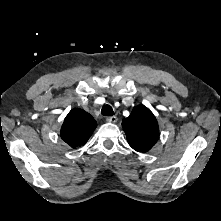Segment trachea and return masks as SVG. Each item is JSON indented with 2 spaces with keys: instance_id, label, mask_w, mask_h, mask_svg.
<instances>
[{
  "instance_id": "1",
  "label": "trachea",
  "mask_w": 221,
  "mask_h": 221,
  "mask_svg": "<svg viewBox=\"0 0 221 221\" xmlns=\"http://www.w3.org/2000/svg\"><path fill=\"white\" fill-rule=\"evenodd\" d=\"M101 113L103 116H113L114 114L112 107L108 104L102 107Z\"/></svg>"
}]
</instances>
